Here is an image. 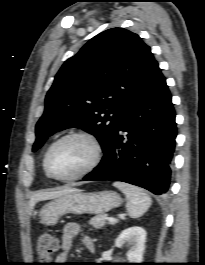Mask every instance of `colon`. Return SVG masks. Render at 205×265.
<instances>
[{
	"mask_svg": "<svg viewBox=\"0 0 205 265\" xmlns=\"http://www.w3.org/2000/svg\"><path fill=\"white\" fill-rule=\"evenodd\" d=\"M59 249L58 239L49 232H42L37 237L36 250L42 262H50ZM48 264V263H43Z\"/></svg>",
	"mask_w": 205,
	"mask_h": 265,
	"instance_id": "obj_1",
	"label": "colon"
}]
</instances>
